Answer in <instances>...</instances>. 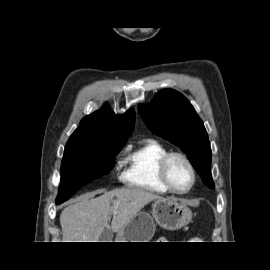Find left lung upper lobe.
<instances>
[{"instance_id": "obj_1", "label": "left lung upper lobe", "mask_w": 270, "mask_h": 270, "mask_svg": "<svg viewBox=\"0 0 270 270\" xmlns=\"http://www.w3.org/2000/svg\"><path fill=\"white\" fill-rule=\"evenodd\" d=\"M139 112L155 134L184 151L202 181L214 188L211 176V148L202 120L180 93L165 89L149 105H139Z\"/></svg>"}]
</instances>
